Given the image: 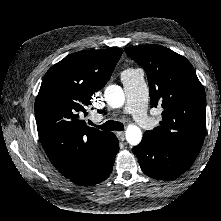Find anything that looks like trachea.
<instances>
[{
	"label": "trachea",
	"instance_id": "1",
	"mask_svg": "<svg viewBox=\"0 0 221 221\" xmlns=\"http://www.w3.org/2000/svg\"><path fill=\"white\" fill-rule=\"evenodd\" d=\"M89 124L92 126H95L101 130H107V131H123L124 125L121 122L114 121V120H108L107 122L103 124H94L93 122L89 121Z\"/></svg>",
	"mask_w": 221,
	"mask_h": 221
}]
</instances>
